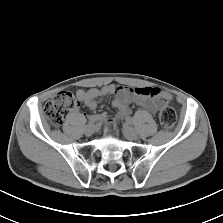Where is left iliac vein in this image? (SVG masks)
<instances>
[{
    "label": "left iliac vein",
    "instance_id": "obj_1",
    "mask_svg": "<svg viewBox=\"0 0 223 223\" xmlns=\"http://www.w3.org/2000/svg\"><path fill=\"white\" fill-rule=\"evenodd\" d=\"M122 132L128 140H136L138 138L137 131L126 123L122 126Z\"/></svg>",
    "mask_w": 223,
    "mask_h": 223
}]
</instances>
